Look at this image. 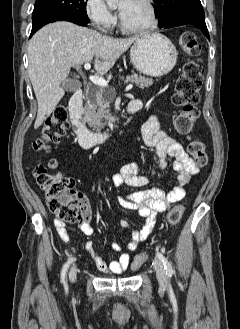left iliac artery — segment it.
Listing matches in <instances>:
<instances>
[{
	"label": "left iliac artery",
	"instance_id": "left-iliac-artery-1",
	"mask_svg": "<svg viewBox=\"0 0 240 329\" xmlns=\"http://www.w3.org/2000/svg\"><path fill=\"white\" fill-rule=\"evenodd\" d=\"M157 257L159 258V260L163 263L164 265V269L166 271V275L168 277H171L174 273L173 268L171 263L168 261V259L160 252L157 253Z\"/></svg>",
	"mask_w": 240,
	"mask_h": 329
}]
</instances>
